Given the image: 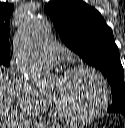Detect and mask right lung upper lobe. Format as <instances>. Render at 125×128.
Masks as SVG:
<instances>
[{
    "label": "right lung upper lobe",
    "instance_id": "1",
    "mask_svg": "<svg viewBox=\"0 0 125 128\" xmlns=\"http://www.w3.org/2000/svg\"><path fill=\"white\" fill-rule=\"evenodd\" d=\"M14 6L0 2V58L10 59L9 23Z\"/></svg>",
    "mask_w": 125,
    "mask_h": 128
}]
</instances>
